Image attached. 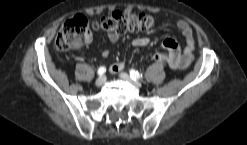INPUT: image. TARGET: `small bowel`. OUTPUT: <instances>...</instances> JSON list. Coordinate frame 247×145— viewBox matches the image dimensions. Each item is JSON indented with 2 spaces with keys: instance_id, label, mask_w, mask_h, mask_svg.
<instances>
[{
  "instance_id": "1",
  "label": "small bowel",
  "mask_w": 247,
  "mask_h": 145,
  "mask_svg": "<svg viewBox=\"0 0 247 145\" xmlns=\"http://www.w3.org/2000/svg\"><path fill=\"white\" fill-rule=\"evenodd\" d=\"M177 28L185 39V45L183 49H181L178 43L172 38H166L162 42V47L165 49V53H157L153 56V59L156 62H167L173 70H184L187 69L191 63L193 62L194 56V47L195 40L193 31L190 25L185 20H179L177 22ZM108 38L111 42L115 43L119 40V34L109 33ZM150 38L149 37H137L131 41L132 47H145L149 45ZM101 56L103 58L108 57V50H102ZM125 62L120 61L114 63L110 66V73L116 75L125 67Z\"/></svg>"
}]
</instances>
